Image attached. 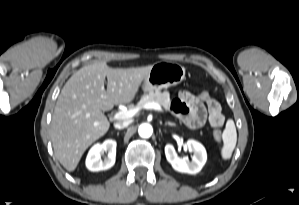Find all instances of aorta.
I'll return each mask as SVG.
<instances>
[{
    "mask_svg": "<svg viewBox=\"0 0 299 205\" xmlns=\"http://www.w3.org/2000/svg\"><path fill=\"white\" fill-rule=\"evenodd\" d=\"M138 133L142 138H149L153 133V128L150 124L143 123L139 126Z\"/></svg>",
    "mask_w": 299,
    "mask_h": 205,
    "instance_id": "762f6f07",
    "label": "aorta"
}]
</instances>
